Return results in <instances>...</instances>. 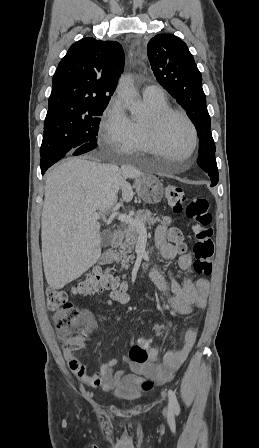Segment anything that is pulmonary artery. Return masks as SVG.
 I'll use <instances>...</instances> for the list:
<instances>
[{
	"instance_id": "obj_1",
	"label": "pulmonary artery",
	"mask_w": 259,
	"mask_h": 448,
	"mask_svg": "<svg viewBox=\"0 0 259 448\" xmlns=\"http://www.w3.org/2000/svg\"><path fill=\"white\" fill-rule=\"evenodd\" d=\"M143 96L149 99L160 100L165 98V90L160 85L146 86L142 90Z\"/></svg>"
}]
</instances>
